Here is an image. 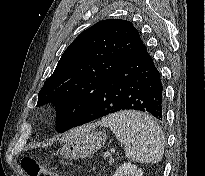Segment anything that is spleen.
<instances>
[{"label":"spleen","instance_id":"obj_1","mask_svg":"<svg viewBox=\"0 0 205 176\" xmlns=\"http://www.w3.org/2000/svg\"><path fill=\"white\" fill-rule=\"evenodd\" d=\"M124 145L128 159L140 163H158L164 154L165 138L158 124L147 114L120 111L100 122Z\"/></svg>","mask_w":205,"mask_h":176}]
</instances>
